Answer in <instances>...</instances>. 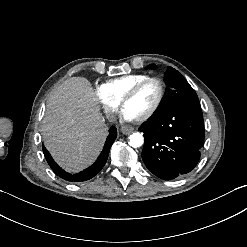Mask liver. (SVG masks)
Returning <instances> with one entry per match:
<instances>
[{"mask_svg": "<svg viewBox=\"0 0 247 247\" xmlns=\"http://www.w3.org/2000/svg\"><path fill=\"white\" fill-rule=\"evenodd\" d=\"M42 122L44 145L67 172L91 165L108 135L99 99L84 77H72L57 88Z\"/></svg>", "mask_w": 247, "mask_h": 247, "instance_id": "liver-1", "label": "liver"}]
</instances>
